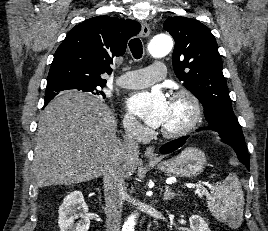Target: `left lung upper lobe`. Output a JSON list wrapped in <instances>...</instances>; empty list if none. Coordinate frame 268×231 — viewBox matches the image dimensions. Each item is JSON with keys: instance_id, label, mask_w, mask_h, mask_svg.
Segmentation results:
<instances>
[{"instance_id": "5c2ea615", "label": "left lung upper lobe", "mask_w": 268, "mask_h": 231, "mask_svg": "<svg viewBox=\"0 0 268 231\" xmlns=\"http://www.w3.org/2000/svg\"><path fill=\"white\" fill-rule=\"evenodd\" d=\"M163 27L175 40L172 63L176 76L204 107L209 126L197 131H216L230 146L246 148L210 29L198 20L181 16L166 19Z\"/></svg>"}]
</instances>
